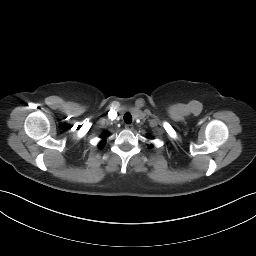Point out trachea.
<instances>
[{
    "mask_svg": "<svg viewBox=\"0 0 256 256\" xmlns=\"http://www.w3.org/2000/svg\"><path fill=\"white\" fill-rule=\"evenodd\" d=\"M124 121L127 123V124H130L132 122V116L130 113H126L124 115Z\"/></svg>",
    "mask_w": 256,
    "mask_h": 256,
    "instance_id": "trachea-1",
    "label": "trachea"
}]
</instances>
